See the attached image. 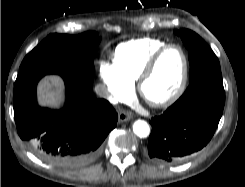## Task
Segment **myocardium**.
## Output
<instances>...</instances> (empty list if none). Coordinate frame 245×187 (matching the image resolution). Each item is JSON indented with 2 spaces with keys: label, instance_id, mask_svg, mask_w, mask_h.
I'll use <instances>...</instances> for the list:
<instances>
[{
  "label": "myocardium",
  "instance_id": "f54148a6",
  "mask_svg": "<svg viewBox=\"0 0 245 187\" xmlns=\"http://www.w3.org/2000/svg\"><path fill=\"white\" fill-rule=\"evenodd\" d=\"M170 49H177L181 53L183 59V69H182V74L179 83L175 88V90L166 98L159 101L148 100L144 95V85L147 82V80L150 78V76L153 74L160 58ZM188 76H189V61L185 50L178 44H166L163 47H161L159 50H157L150 57V59L146 62L145 66L141 70L136 81L137 91L140 94V96L150 106L158 109L167 108L172 104H174L183 95L187 86Z\"/></svg>",
  "mask_w": 245,
  "mask_h": 187
}]
</instances>
